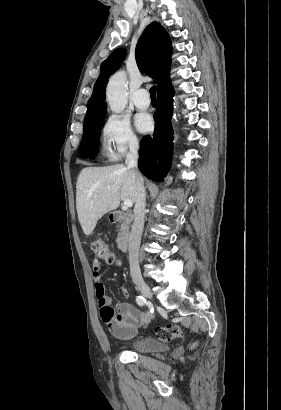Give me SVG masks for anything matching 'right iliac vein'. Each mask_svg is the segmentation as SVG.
Listing matches in <instances>:
<instances>
[{
	"instance_id": "obj_1",
	"label": "right iliac vein",
	"mask_w": 281,
	"mask_h": 410,
	"mask_svg": "<svg viewBox=\"0 0 281 410\" xmlns=\"http://www.w3.org/2000/svg\"><path fill=\"white\" fill-rule=\"evenodd\" d=\"M136 285L144 297L148 299L152 298V292L149 286L144 281H138L136 282Z\"/></svg>"
}]
</instances>
